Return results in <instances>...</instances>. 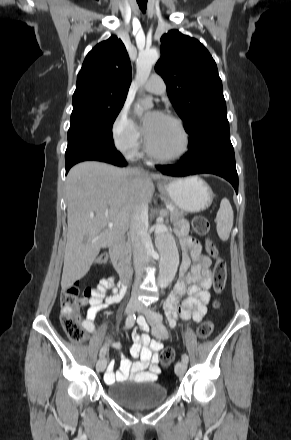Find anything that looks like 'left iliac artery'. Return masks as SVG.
I'll return each instance as SVG.
<instances>
[{"label": "left iliac artery", "instance_id": "obj_1", "mask_svg": "<svg viewBox=\"0 0 291 440\" xmlns=\"http://www.w3.org/2000/svg\"><path fill=\"white\" fill-rule=\"evenodd\" d=\"M161 331H162V334L164 335V337H168V335H169L168 331L165 329L164 326H161ZM182 361L185 362L186 364L188 363L189 359H188L187 354L184 353L182 355Z\"/></svg>", "mask_w": 291, "mask_h": 440}]
</instances>
